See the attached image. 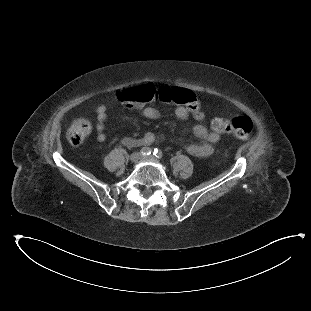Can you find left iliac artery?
Listing matches in <instances>:
<instances>
[{
  "mask_svg": "<svg viewBox=\"0 0 311 311\" xmlns=\"http://www.w3.org/2000/svg\"><path fill=\"white\" fill-rule=\"evenodd\" d=\"M153 155H154L156 158H158V159H162V157H163L162 151H161L160 149H157V148L154 149Z\"/></svg>",
  "mask_w": 311,
  "mask_h": 311,
  "instance_id": "44dca946",
  "label": "left iliac artery"
}]
</instances>
